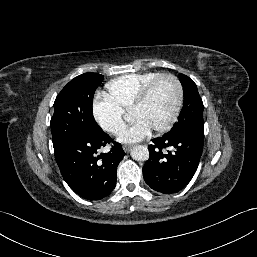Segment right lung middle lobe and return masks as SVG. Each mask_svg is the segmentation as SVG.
Returning a JSON list of instances; mask_svg holds the SVG:
<instances>
[{
    "label": "right lung middle lobe",
    "instance_id": "dd1d6c3e",
    "mask_svg": "<svg viewBox=\"0 0 257 257\" xmlns=\"http://www.w3.org/2000/svg\"><path fill=\"white\" fill-rule=\"evenodd\" d=\"M103 79L97 73H84L61 90L50 122L54 147L72 138L94 139L104 134L92 112L93 96Z\"/></svg>",
    "mask_w": 257,
    "mask_h": 257
}]
</instances>
